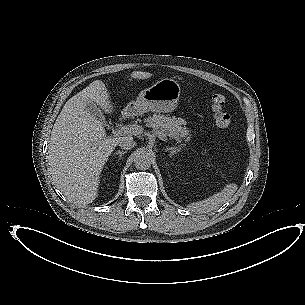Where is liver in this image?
Wrapping results in <instances>:
<instances>
[{"instance_id": "obj_1", "label": "liver", "mask_w": 305, "mask_h": 305, "mask_svg": "<svg viewBox=\"0 0 305 305\" xmlns=\"http://www.w3.org/2000/svg\"><path fill=\"white\" fill-rule=\"evenodd\" d=\"M116 109L109 89L96 80L66 102L54 123L48 144L49 171L68 197L86 204L96 200L103 169L120 138L107 136L101 116L102 112L112 115Z\"/></svg>"}]
</instances>
